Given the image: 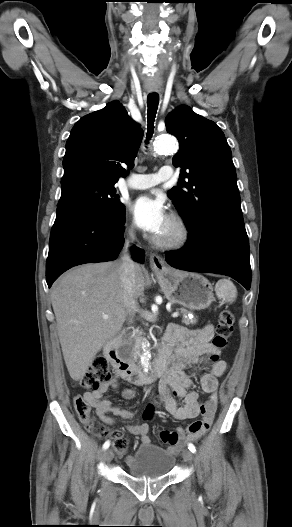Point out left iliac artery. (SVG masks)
Instances as JSON below:
<instances>
[{"label":"left iliac artery","instance_id":"44dca946","mask_svg":"<svg viewBox=\"0 0 292 527\" xmlns=\"http://www.w3.org/2000/svg\"><path fill=\"white\" fill-rule=\"evenodd\" d=\"M188 449H189L192 453H194V452L196 451L195 446H194L192 443H189V444H188Z\"/></svg>","mask_w":292,"mask_h":527}]
</instances>
